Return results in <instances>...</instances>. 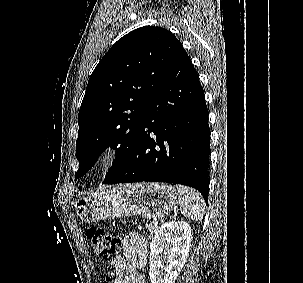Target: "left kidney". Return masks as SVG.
I'll return each mask as SVG.
<instances>
[{
    "label": "left kidney",
    "instance_id": "left-kidney-1",
    "mask_svg": "<svg viewBox=\"0 0 303 283\" xmlns=\"http://www.w3.org/2000/svg\"><path fill=\"white\" fill-rule=\"evenodd\" d=\"M192 229L183 221L163 224L150 244L151 283H174L188 256Z\"/></svg>",
    "mask_w": 303,
    "mask_h": 283
}]
</instances>
